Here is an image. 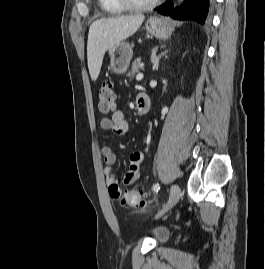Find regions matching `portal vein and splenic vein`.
Wrapping results in <instances>:
<instances>
[{
	"label": "portal vein and splenic vein",
	"instance_id": "obj_1",
	"mask_svg": "<svg viewBox=\"0 0 265 269\" xmlns=\"http://www.w3.org/2000/svg\"><path fill=\"white\" fill-rule=\"evenodd\" d=\"M143 77H144L143 73H138V75L136 76V80L140 81L143 79Z\"/></svg>",
	"mask_w": 265,
	"mask_h": 269
}]
</instances>
